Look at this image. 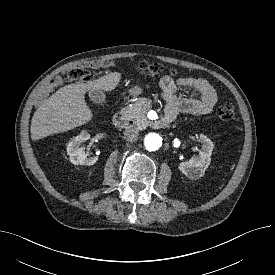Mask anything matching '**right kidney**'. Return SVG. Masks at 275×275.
Returning a JSON list of instances; mask_svg holds the SVG:
<instances>
[{
    "label": "right kidney",
    "mask_w": 275,
    "mask_h": 275,
    "mask_svg": "<svg viewBox=\"0 0 275 275\" xmlns=\"http://www.w3.org/2000/svg\"><path fill=\"white\" fill-rule=\"evenodd\" d=\"M90 138L87 131H82L80 135L72 139L67 145V154L70 161L75 165H93L98 161V157H88L82 144Z\"/></svg>",
    "instance_id": "1"
}]
</instances>
